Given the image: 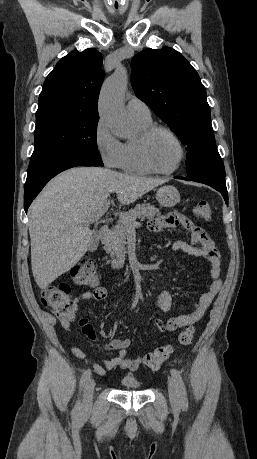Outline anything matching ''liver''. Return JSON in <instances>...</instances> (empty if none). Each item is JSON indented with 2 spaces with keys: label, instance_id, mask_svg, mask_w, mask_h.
Instances as JSON below:
<instances>
[{
  "label": "liver",
  "instance_id": "obj_1",
  "mask_svg": "<svg viewBox=\"0 0 257 459\" xmlns=\"http://www.w3.org/2000/svg\"><path fill=\"white\" fill-rule=\"evenodd\" d=\"M165 182L96 167L72 168L52 179L28 210L32 273L39 288L84 256L94 236L87 220L112 193L128 205Z\"/></svg>",
  "mask_w": 257,
  "mask_h": 459
}]
</instances>
